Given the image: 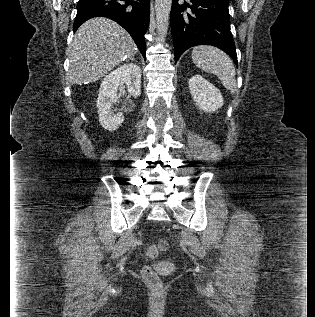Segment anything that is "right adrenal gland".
<instances>
[{"mask_svg":"<svg viewBox=\"0 0 315 317\" xmlns=\"http://www.w3.org/2000/svg\"><path fill=\"white\" fill-rule=\"evenodd\" d=\"M129 59L135 61L134 56L129 57Z\"/></svg>","mask_w":315,"mask_h":317,"instance_id":"2a0ac1e0","label":"right adrenal gland"}]
</instances>
